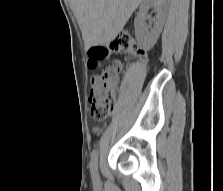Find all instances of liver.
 Wrapping results in <instances>:
<instances>
[{
  "label": "liver",
  "instance_id": "6515ba94",
  "mask_svg": "<svg viewBox=\"0 0 223 191\" xmlns=\"http://www.w3.org/2000/svg\"><path fill=\"white\" fill-rule=\"evenodd\" d=\"M143 0H71L86 48L106 45Z\"/></svg>",
  "mask_w": 223,
  "mask_h": 191
}]
</instances>
